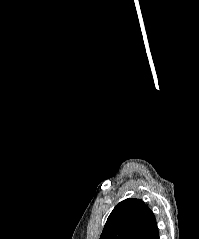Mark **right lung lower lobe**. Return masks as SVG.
Segmentation results:
<instances>
[{
  "instance_id": "98d812e1",
  "label": "right lung lower lobe",
  "mask_w": 199,
  "mask_h": 239,
  "mask_svg": "<svg viewBox=\"0 0 199 239\" xmlns=\"http://www.w3.org/2000/svg\"><path fill=\"white\" fill-rule=\"evenodd\" d=\"M143 239H159L157 225L148 234H146Z\"/></svg>"
}]
</instances>
